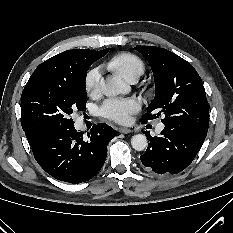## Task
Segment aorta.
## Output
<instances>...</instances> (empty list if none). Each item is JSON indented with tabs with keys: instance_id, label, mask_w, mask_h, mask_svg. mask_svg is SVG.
I'll list each match as a JSON object with an SVG mask.
<instances>
[{
	"instance_id": "obj_1",
	"label": "aorta",
	"mask_w": 233,
	"mask_h": 233,
	"mask_svg": "<svg viewBox=\"0 0 233 233\" xmlns=\"http://www.w3.org/2000/svg\"><path fill=\"white\" fill-rule=\"evenodd\" d=\"M101 90L106 96H115L128 91V87L123 80L118 77H108L101 81ZM131 145L136 151H143L148 140L144 134H136L131 138Z\"/></svg>"
}]
</instances>
